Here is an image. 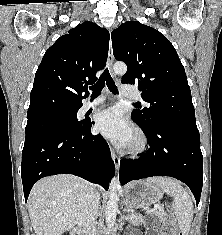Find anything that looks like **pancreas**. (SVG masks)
Masks as SVG:
<instances>
[{"mask_svg":"<svg viewBox=\"0 0 222 235\" xmlns=\"http://www.w3.org/2000/svg\"><path fill=\"white\" fill-rule=\"evenodd\" d=\"M155 214L161 219L165 217V212L162 210L156 211ZM129 217H130V220H133L135 218V214H130Z\"/></svg>","mask_w":222,"mask_h":235,"instance_id":"obj_1","label":"pancreas"}]
</instances>
